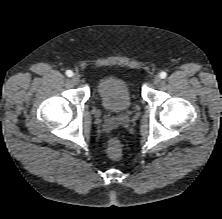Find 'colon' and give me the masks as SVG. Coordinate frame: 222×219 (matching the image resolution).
Wrapping results in <instances>:
<instances>
[{
	"mask_svg": "<svg viewBox=\"0 0 222 219\" xmlns=\"http://www.w3.org/2000/svg\"><path fill=\"white\" fill-rule=\"evenodd\" d=\"M123 145L117 138H112L107 144V154L111 159H119L122 156Z\"/></svg>",
	"mask_w": 222,
	"mask_h": 219,
	"instance_id": "colon-1",
	"label": "colon"
}]
</instances>
